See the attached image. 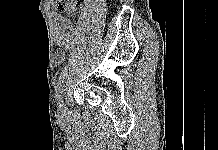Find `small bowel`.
I'll list each match as a JSON object with an SVG mask.
<instances>
[{
	"label": "small bowel",
	"mask_w": 218,
	"mask_h": 150,
	"mask_svg": "<svg viewBox=\"0 0 218 150\" xmlns=\"http://www.w3.org/2000/svg\"><path fill=\"white\" fill-rule=\"evenodd\" d=\"M54 20L55 25V42L57 46L61 49L70 48L74 45L75 34L71 29V23L68 19L55 15ZM63 59L62 51L57 53V60L61 61Z\"/></svg>",
	"instance_id": "obj_1"
}]
</instances>
